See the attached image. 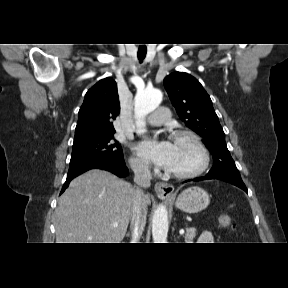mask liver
<instances>
[{
	"mask_svg": "<svg viewBox=\"0 0 288 288\" xmlns=\"http://www.w3.org/2000/svg\"><path fill=\"white\" fill-rule=\"evenodd\" d=\"M134 191L130 183L99 169L73 179L55 210L57 243H120L131 219ZM145 203L151 204L149 195Z\"/></svg>",
	"mask_w": 288,
	"mask_h": 288,
	"instance_id": "6515ba94",
	"label": "liver"
}]
</instances>
